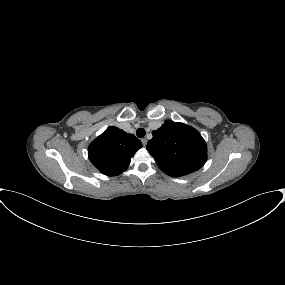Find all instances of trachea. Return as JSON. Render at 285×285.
Here are the masks:
<instances>
[{"label":"trachea","mask_w":285,"mask_h":285,"mask_svg":"<svg viewBox=\"0 0 285 285\" xmlns=\"http://www.w3.org/2000/svg\"><path fill=\"white\" fill-rule=\"evenodd\" d=\"M145 134H146V131H145V129H143V128H139V129L136 131V135H137V137H139V138L144 137Z\"/></svg>","instance_id":"3493384b"}]
</instances>
